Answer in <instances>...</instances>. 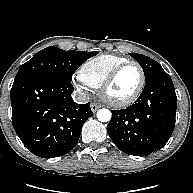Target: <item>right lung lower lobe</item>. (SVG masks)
<instances>
[{"mask_svg": "<svg viewBox=\"0 0 193 193\" xmlns=\"http://www.w3.org/2000/svg\"><path fill=\"white\" fill-rule=\"evenodd\" d=\"M71 82L50 76L14 80L12 122L23 144L43 158L62 156L77 144L85 121L93 115L90 103L73 101Z\"/></svg>", "mask_w": 193, "mask_h": 193, "instance_id": "right-lung-lower-lobe-1", "label": "right lung lower lobe"}]
</instances>
